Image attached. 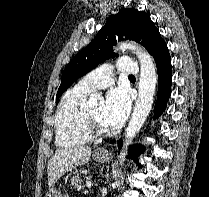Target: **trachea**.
<instances>
[{"label": "trachea", "instance_id": "obj_1", "mask_svg": "<svg viewBox=\"0 0 209 197\" xmlns=\"http://www.w3.org/2000/svg\"><path fill=\"white\" fill-rule=\"evenodd\" d=\"M129 77H130V78H134V76H133V75H130Z\"/></svg>", "mask_w": 209, "mask_h": 197}]
</instances>
